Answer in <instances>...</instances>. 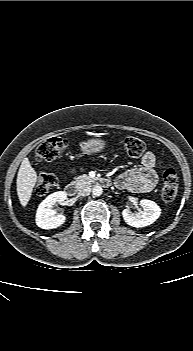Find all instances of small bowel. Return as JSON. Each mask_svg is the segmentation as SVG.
Returning a JSON list of instances; mask_svg holds the SVG:
<instances>
[{
  "instance_id": "obj_1",
  "label": "small bowel",
  "mask_w": 193,
  "mask_h": 351,
  "mask_svg": "<svg viewBox=\"0 0 193 351\" xmlns=\"http://www.w3.org/2000/svg\"><path fill=\"white\" fill-rule=\"evenodd\" d=\"M159 160L153 152H146L141 159V166L120 175L117 183L132 193H150L156 186Z\"/></svg>"
}]
</instances>
